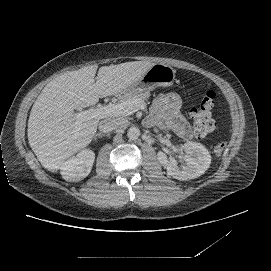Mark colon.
Listing matches in <instances>:
<instances>
[{"mask_svg": "<svg viewBox=\"0 0 271 271\" xmlns=\"http://www.w3.org/2000/svg\"><path fill=\"white\" fill-rule=\"evenodd\" d=\"M215 101V93L211 90L202 94L199 104L193 107L190 117L194 127L195 134L198 137H204L217 130L218 125L212 117V108ZM226 148L225 142L218 143L214 151L217 155H221Z\"/></svg>", "mask_w": 271, "mask_h": 271, "instance_id": "colon-1", "label": "colon"}]
</instances>
